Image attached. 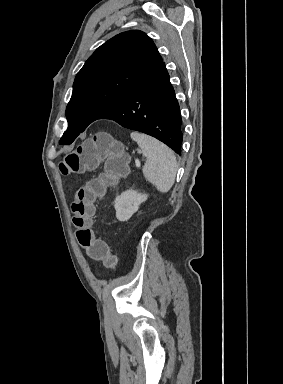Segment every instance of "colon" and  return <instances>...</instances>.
Returning <instances> with one entry per match:
<instances>
[{
  "mask_svg": "<svg viewBox=\"0 0 283 384\" xmlns=\"http://www.w3.org/2000/svg\"><path fill=\"white\" fill-rule=\"evenodd\" d=\"M103 163V172L79 186L72 202L73 223L79 244L90 258L101 261L105 267L114 269L117 257L106 242L96 239L92 230L95 201L101 198L108 187L128 173V158L121 147L108 134L97 132L68 152L59 167L64 175L80 174Z\"/></svg>",
  "mask_w": 283,
  "mask_h": 384,
  "instance_id": "colon-1",
  "label": "colon"
}]
</instances>
